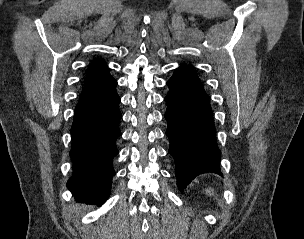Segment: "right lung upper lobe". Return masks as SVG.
<instances>
[{
	"label": "right lung upper lobe",
	"mask_w": 304,
	"mask_h": 239,
	"mask_svg": "<svg viewBox=\"0 0 304 239\" xmlns=\"http://www.w3.org/2000/svg\"><path fill=\"white\" fill-rule=\"evenodd\" d=\"M107 71L108 69H106V63L102 59H95L89 67L86 76V84L97 79Z\"/></svg>",
	"instance_id": "right-lung-upper-lobe-1"
}]
</instances>
